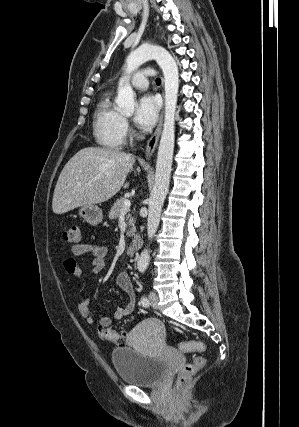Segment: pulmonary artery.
Wrapping results in <instances>:
<instances>
[{
	"label": "pulmonary artery",
	"instance_id": "e3ab8cb5",
	"mask_svg": "<svg viewBox=\"0 0 299 427\" xmlns=\"http://www.w3.org/2000/svg\"><path fill=\"white\" fill-rule=\"evenodd\" d=\"M154 72L149 68L139 70L131 79V84L137 89H146L149 78H154Z\"/></svg>",
	"mask_w": 299,
	"mask_h": 427
}]
</instances>
